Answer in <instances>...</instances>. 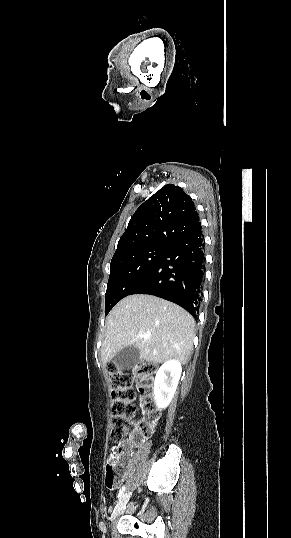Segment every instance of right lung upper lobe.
Segmentation results:
<instances>
[{
	"label": "right lung upper lobe",
	"instance_id": "obj_1",
	"mask_svg": "<svg viewBox=\"0 0 291 538\" xmlns=\"http://www.w3.org/2000/svg\"><path fill=\"white\" fill-rule=\"evenodd\" d=\"M200 227L191 197L167 184L135 211L113 257L149 245L172 246Z\"/></svg>",
	"mask_w": 291,
	"mask_h": 538
}]
</instances>
